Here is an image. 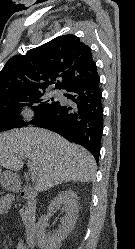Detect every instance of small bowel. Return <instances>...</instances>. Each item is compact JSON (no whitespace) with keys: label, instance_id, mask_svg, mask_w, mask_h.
Segmentation results:
<instances>
[{"label":"small bowel","instance_id":"c3829d8e","mask_svg":"<svg viewBox=\"0 0 135 249\" xmlns=\"http://www.w3.org/2000/svg\"><path fill=\"white\" fill-rule=\"evenodd\" d=\"M0 212H4V213H11V207L9 204L5 203V202H0ZM32 240L33 237H29L27 235L26 238H22L20 240L19 246L17 249H30L31 248V244H32Z\"/></svg>","mask_w":135,"mask_h":249}]
</instances>
